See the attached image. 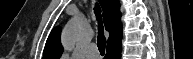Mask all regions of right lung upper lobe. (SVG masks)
I'll return each mask as SVG.
<instances>
[{
	"instance_id": "right-lung-upper-lobe-1",
	"label": "right lung upper lobe",
	"mask_w": 193,
	"mask_h": 59,
	"mask_svg": "<svg viewBox=\"0 0 193 59\" xmlns=\"http://www.w3.org/2000/svg\"><path fill=\"white\" fill-rule=\"evenodd\" d=\"M100 3L103 9L105 28L110 33L108 44H111L122 38L120 3L118 0H100ZM60 33V27L51 31L44 48V59H58L60 57L62 53Z\"/></svg>"
}]
</instances>
